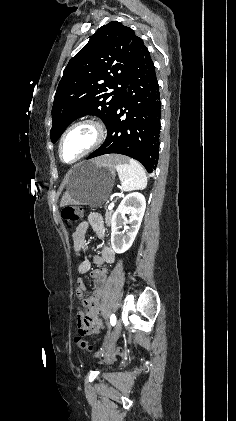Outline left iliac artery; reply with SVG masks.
Listing matches in <instances>:
<instances>
[{"label": "left iliac artery", "mask_w": 236, "mask_h": 421, "mask_svg": "<svg viewBox=\"0 0 236 421\" xmlns=\"http://www.w3.org/2000/svg\"><path fill=\"white\" fill-rule=\"evenodd\" d=\"M110 324L112 326H114L116 324V316H115V314H112L111 315V317H110Z\"/></svg>", "instance_id": "obj_1"}]
</instances>
